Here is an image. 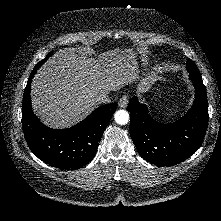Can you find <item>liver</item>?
Segmentation results:
<instances>
[{
	"label": "liver",
	"instance_id": "1",
	"mask_svg": "<svg viewBox=\"0 0 221 221\" xmlns=\"http://www.w3.org/2000/svg\"><path fill=\"white\" fill-rule=\"evenodd\" d=\"M139 78L133 49H114L98 59L77 54L71 48L59 50L32 80L33 110L49 127H71L97 107L98 95L120 90ZM148 86L149 78L142 79L137 91L145 92Z\"/></svg>",
	"mask_w": 221,
	"mask_h": 221
}]
</instances>
